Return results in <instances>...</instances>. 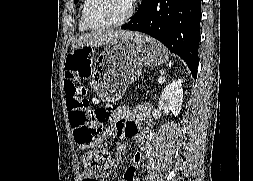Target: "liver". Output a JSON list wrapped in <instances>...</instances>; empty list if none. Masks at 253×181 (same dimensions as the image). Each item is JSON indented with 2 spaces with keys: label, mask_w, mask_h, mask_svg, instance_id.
Instances as JSON below:
<instances>
[{
  "label": "liver",
  "mask_w": 253,
  "mask_h": 181,
  "mask_svg": "<svg viewBox=\"0 0 253 181\" xmlns=\"http://www.w3.org/2000/svg\"><path fill=\"white\" fill-rule=\"evenodd\" d=\"M138 32L125 30H99L86 34H81L72 42V49L90 46L99 47L118 39H129L137 36Z\"/></svg>",
  "instance_id": "liver-1"
}]
</instances>
